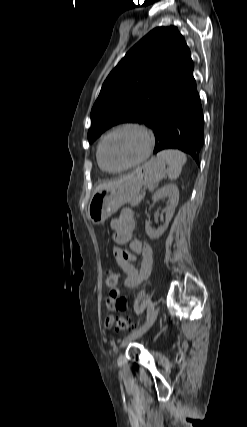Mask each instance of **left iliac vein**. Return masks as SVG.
<instances>
[{
	"label": "left iliac vein",
	"mask_w": 247,
	"mask_h": 427,
	"mask_svg": "<svg viewBox=\"0 0 247 427\" xmlns=\"http://www.w3.org/2000/svg\"><path fill=\"white\" fill-rule=\"evenodd\" d=\"M159 313V308H156L153 313L150 315V317L146 320V322L139 327L138 329L134 330L133 332H131L127 337L124 338V340L122 341L121 347L124 348L126 347V345L137 339L140 338L144 333H146L151 326L153 325V323L155 322V320L157 319ZM123 355L120 354L119 358H118V365L121 366L123 364Z\"/></svg>",
	"instance_id": "1"
}]
</instances>
